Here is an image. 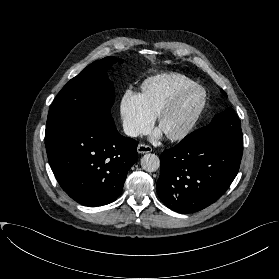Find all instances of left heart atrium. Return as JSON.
<instances>
[{
    "label": "left heart atrium",
    "instance_id": "left-heart-atrium-1",
    "mask_svg": "<svg viewBox=\"0 0 279 279\" xmlns=\"http://www.w3.org/2000/svg\"><path fill=\"white\" fill-rule=\"evenodd\" d=\"M160 136H161V131L160 130L156 131V137H160Z\"/></svg>",
    "mask_w": 279,
    "mask_h": 279
}]
</instances>
